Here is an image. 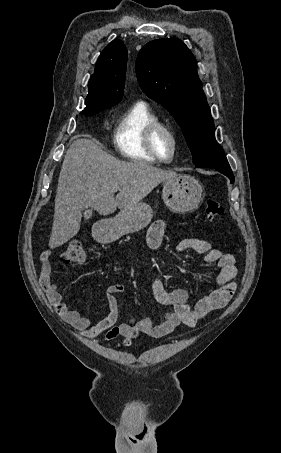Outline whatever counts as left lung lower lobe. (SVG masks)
<instances>
[{
	"label": "left lung lower lobe",
	"mask_w": 281,
	"mask_h": 453,
	"mask_svg": "<svg viewBox=\"0 0 281 453\" xmlns=\"http://www.w3.org/2000/svg\"><path fill=\"white\" fill-rule=\"evenodd\" d=\"M215 169L217 171H219L220 173L226 175L230 179L231 183L234 182L235 178H234V175H233L230 167L229 168H215Z\"/></svg>",
	"instance_id": "obj_1"
}]
</instances>
